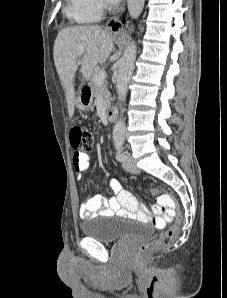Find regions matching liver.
<instances>
[{
	"label": "liver",
	"mask_w": 227,
	"mask_h": 298,
	"mask_svg": "<svg viewBox=\"0 0 227 298\" xmlns=\"http://www.w3.org/2000/svg\"><path fill=\"white\" fill-rule=\"evenodd\" d=\"M113 46L111 33L99 26H76L59 31L53 56L70 118L74 115L77 99L74 82L78 66L81 65L79 72L83 79L89 80L98 63L102 64L108 59Z\"/></svg>",
	"instance_id": "obj_1"
}]
</instances>
